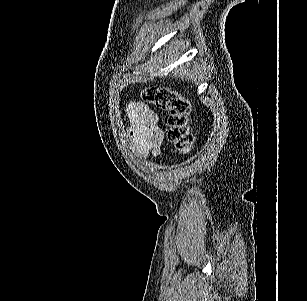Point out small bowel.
<instances>
[{"instance_id":"small-bowel-1","label":"small bowel","mask_w":307,"mask_h":301,"mask_svg":"<svg viewBox=\"0 0 307 301\" xmlns=\"http://www.w3.org/2000/svg\"><path fill=\"white\" fill-rule=\"evenodd\" d=\"M126 114L127 134L137 153L144 158L158 156L164 144V132L157 114L141 101L129 103Z\"/></svg>"}]
</instances>
